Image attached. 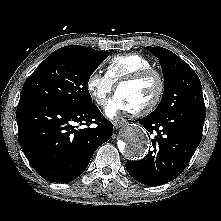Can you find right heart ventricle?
Wrapping results in <instances>:
<instances>
[{
  "instance_id": "e07e8e85",
  "label": "right heart ventricle",
  "mask_w": 221,
  "mask_h": 221,
  "mask_svg": "<svg viewBox=\"0 0 221 221\" xmlns=\"http://www.w3.org/2000/svg\"><path fill=\"white\" fill-rule=\"evenodd\" d=\"M153 68V63L138 53H127L114 56L108 62L106 75L117 84L121 79L144 69Z\"/></svg>"
}]
</instances>
